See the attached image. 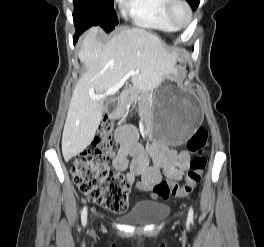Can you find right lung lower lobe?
Masks as SVG:
<instances>
[{"label":"right lung lower lobe","mask_w":264,"mask_h":247,"mask_svg":"<svg viewBox=\"0 0 264 247\" xmlns=\"http://www.w3.org/2000/svg\"><path fill=\"white\" fill-rule=\"evenodd\" d=\"M82 32L78 31L76 32V35L74 36V42L77 40L78 36L81 34Z\"/></svg>","instance_id":"right-lung-lower-lobe-1"}]
</instances>
